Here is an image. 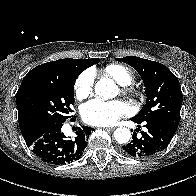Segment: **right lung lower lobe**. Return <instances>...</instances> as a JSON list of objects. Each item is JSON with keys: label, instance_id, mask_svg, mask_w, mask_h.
<instances>
[{"label": "right lung lower lobe", "instance_id": "1", "mask_svg": "<svg viewBox=\"0 0 196 196\" xmlns=\"http://www.w3.org/2000/svg\"><path fill=\"white\" fill-rule=\"evenodd\" d=\"M62 125L63 123L42 125L23 133L27 146L46 163L62 165L78 160L93 130V128L82 126L76 130L74 139L67 140L61 132Z\"/></svg>", "mask_w": 196, "mask_h": 196}]
</instances>
